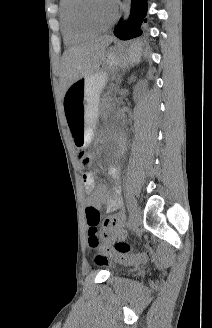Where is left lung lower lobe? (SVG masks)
I'll use <instances>...</instances> for the list:
<instances>
[{
  "label": "left lung lower lobe",
  "instance_id": "0a47b994",
  "mask_svg": "<svg viewBox=\"0 0 212 328\" xmlns=\"http://www.w3.org/2000/svg\"><path fill=\"white\" fill-rule=\"evenodd\" d=\"M147 0H131V13L127 22L119 21L114 34L123 40L132 39L142 34L141 24L146 22Z\"/></svg>",
  "mask_w": 212,
  "mask_h": 328
}]
</instances>
